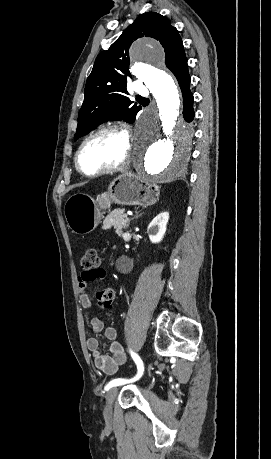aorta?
I'll return each instance as SVG.
<instances>
[{"label":"aorta","instance_id":"762f6f07","mask_svg":"<svg viewBox=\"0 0 271 459\" xmlns=\"http://www.w3.org/2000/svg\"><path fill=\"white\" fill-rule=\"evenodd\" d=\"M130 56L135 60L132 72L154 97L136 128L132 163L144 180L169 181L184 171L191 153L192 133L180 116L176 81L165 71L164 51L157 41H135Z\"/></svg>","mask_w":271,"mask_h":459}]
</instances>
